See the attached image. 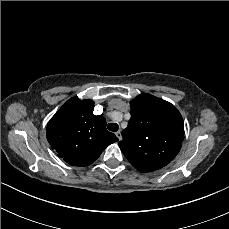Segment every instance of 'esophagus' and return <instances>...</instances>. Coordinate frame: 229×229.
<instances>
[{"label":"esophagus","instance_id":"obj_1","mask_svg":"<svg viewBox=\"0 0 229 229\" xmlns=\"http://www.w3.org/2000/svg\"><path fill=\"white\" fill-rule=\"evenodd\" d=\"M116 136L119 140H122V135H121V132L120 131H117L116 132Z\"/></svg>","mask_w":229,"mask_h":229}]
</instances>
